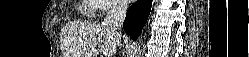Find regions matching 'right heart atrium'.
<instances>
[{"mask_svg": "<svg viewBox=\"0 0 249 57\" xmlns=\"http://www.w3.org/2000/svg\"><path fill=\"white\" fill-rule=\"evenodd\" d=\"M96 10L101 14H109L120 8L121 3L117 0H94Z\"/></svg>", "mask_w": 249, "mask_h": 57, "instance_id": "1", "label": "right heart atrium"}]
</instances>
